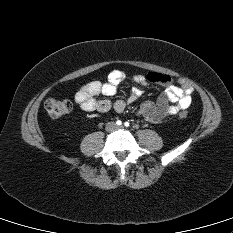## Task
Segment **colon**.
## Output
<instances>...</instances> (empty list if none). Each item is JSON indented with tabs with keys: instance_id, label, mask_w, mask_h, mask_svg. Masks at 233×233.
Wrapping results in <instances>:
<instances>
[{
	"instance_id": "colon-1",
	"label": "colon",
	"mask_w": 233,
	"mask_h": 233,
	"mask_svg": "<svg viewBox=\"0 0 233 233\" xmlns=\"http://www.w3.org/2000/svg\"><path fill=\"white\" fill-rule=\"evenodd\" d=\"M45 108L52 118H59L71 111L72 104L67 99L49 98L45 102ZM187 116V111H181L179 113V117L182 119L187 118Z\"/></svg>"
}]
</instances>
